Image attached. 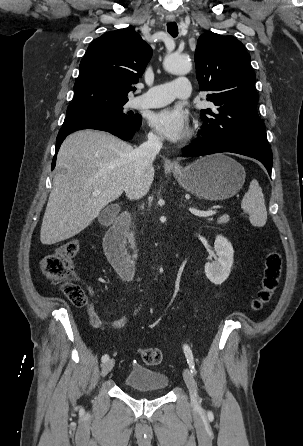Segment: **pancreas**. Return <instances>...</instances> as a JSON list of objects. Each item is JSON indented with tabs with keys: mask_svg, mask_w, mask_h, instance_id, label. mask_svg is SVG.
Listing matches in <instances>:
<instances>
[{
	"mask_svg": "<svg viewBox=\"0 0 303 446\" xmlns=\"http://www.w3.org/2000/svg\"><path fill=\"white\" fill-rule=\"evenodd\" d=\"M210 220H212V219H210ZM228 221H229V218H228V217H226V216H222V217H220V218L218 219V224H226ZM129 241L132 243V247H134V244H133V241H134V239H133V233H131V234L129 235Z\"/></svg>",
	"mask_w": 303,
	"mask_h": 446,
	"instance_id": "pancreas-1",
	"label": "pancreas"
}]
</instances>
